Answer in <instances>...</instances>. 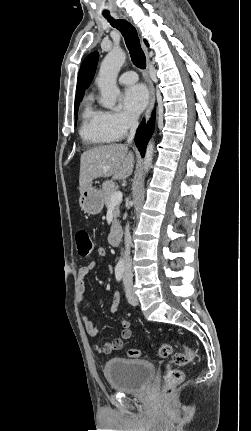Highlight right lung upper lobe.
Here are the masks:
<instances>
[{
	"instance_id": "cb5924a9",
	"label": "right lung upper lobe",
	"mask_w": 251,
	"mask_h": 431,
	"mask_svg": "<svg viewBox=\"0 0 251 431\" xmlns=\"http://www.w3.org/2000/svg\"><path fill=\"white\" fill-rule=\"evenodd\" d=\"M146 45L148 43L145 40ZM99 54L98 52H93L89 54L83 61L77 81V94L75 100L82 99L85 89L90 85L93 80L96 66L98 63Z\"/></svg>"
}]
</instances>
